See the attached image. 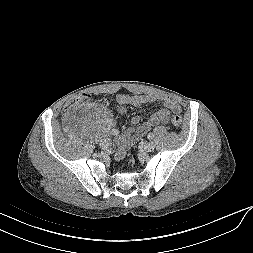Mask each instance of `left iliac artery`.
I'll return each mask as SVG.
<instances>
[{
    "instance_id": "44dca946",
    "label": "left iliac artery",
    "mask_w": 253,
    "mask_h": 253,
    "mask_svg": "<svg viewBox=\"0 0 253 253\" xmlns=\"http://www.w3.org/2000/svg\"><path fill=\"white\" fill-rule=\"evenodd\" d=\"M147 137H148L149 140H152V139L154 138V135H153V133H149V134L147 135Z\"/></svg>"
}]
</instances>
